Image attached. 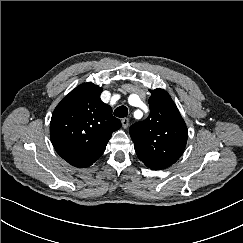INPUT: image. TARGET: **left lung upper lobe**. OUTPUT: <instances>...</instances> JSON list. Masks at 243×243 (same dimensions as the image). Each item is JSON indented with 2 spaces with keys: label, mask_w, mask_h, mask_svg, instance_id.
I'll use <instances>...</instances> for the list:
<instances>
[{
  "label": "left lung upper lobe",
  "mask_w": 243,
  "mask_h": 243,
  "mask_svg": "<svg viewBox=\"0 0 243 243\" xmlns=\"http://www.w3.org/2000/svg\"><path fill=\"white\" fill-rule=\"evenodd\" d=\"M149 91L150 114L129 132L139 159L150 169L160 170L181 157L188 130L169 94L163 89Z\"/></svg>",
  "instance_id": "left-lung-upper-lobe-1"
}]
</instances>
